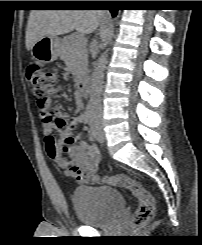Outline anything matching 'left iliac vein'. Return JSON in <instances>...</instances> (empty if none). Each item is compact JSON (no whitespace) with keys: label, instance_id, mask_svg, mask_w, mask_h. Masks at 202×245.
Returning a JSON list of instances; mask_svg holds the SVG:
<instances>
[{"label":"left iliac vein","instance_id":"obj_1","mask_svg":"<svg viewBox=\"0 0 202 245\" xmlns=\"http://www.w3.org/2000/svg\"><path fill=\"white\" fill-rule=\"evenodd\" d=\"M91 135L98 142H103L105 140V132L103 131L102 123L99 119H93L90 122Z\"/></svg>","mask_w":202,"mask_h":245}]
</instances>
